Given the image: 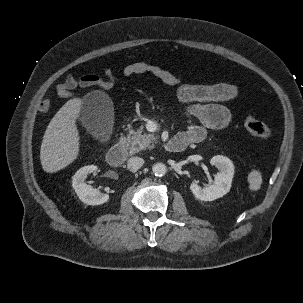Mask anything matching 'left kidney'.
<instances>
[{
    "instance_id": "1",
    "label": "left kidney",
    "mask_w": 303,
    "mask_h": 303,
    "mask_svg": "<svg viewBox=\"0 0 303 303\" xmlns=\"http://www.w3.org/2000/svg\"><path fill=\"white\" fill-rule=\"evenodd\" d=\"M210 163L220 171L215 175L214 184L204 188H201L195 182L190 185L193 195L201 201H213L223 197L230 191L232 184L234 165L229 158L217 155L211 158Z\"/></svg>"
}]
</instances>
